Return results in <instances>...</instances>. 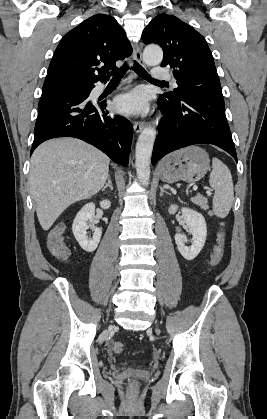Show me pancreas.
Wrapping results in <instances>:
<instances>
[{
	"instance_id": "pancreas-1",
	"label": "pancreas",
	"mask_w": 267,
	"mask_h": 419,
	"mask_svg": "<svg viewBox=\"0 0 267 419\" xmlns=\"http://www.w3.org/2000/svg\"><path fill=\"white\" fill-rule=\"evenodd\" d=\"M191 200L194 204L198 205L203 210H207L209 208L207 204V199L203 196H196Z\"/></svg>"
}]
</instances>
